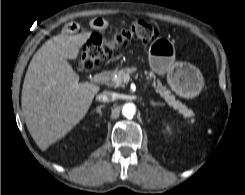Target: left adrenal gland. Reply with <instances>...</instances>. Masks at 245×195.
Returning a JSON list of instances; mask_svg holds the SVG:
<instances>
[{
  "instance_id": "obj_1",
  "label": "left adrenal gland",
  "mask_w": 245,
  "mask_h": 195,
  "mask_svg": "<svg viewBox=\"0 0 245 195\" xmlns=\"http://www.w3.org/2000/svg\"><path fill=\"white\" fill-rule=\"evenodd\" d=\"M150 104L152 106H162L163 105V103H161V102H154V101H151Z\"/></svg>"
}]
</instances>
